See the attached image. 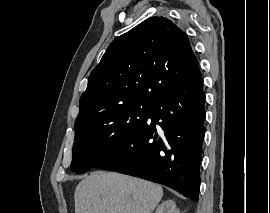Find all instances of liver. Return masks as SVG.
Segmentation results:
<instances>
[{"label": "liver", "instance_id": "1", "mask_svg": "<svg viewBox=\"0 0 270 213\" xmlns=\"http://www.w3.org/2000/svg\"><path fill=\"white\" fill-rule=\"evenodd\" d=\"M161 186L113 172H93L75 189V213H152Z\"/></svg>", "mask_w": 270, "mask_h": 213}]
</instances>
